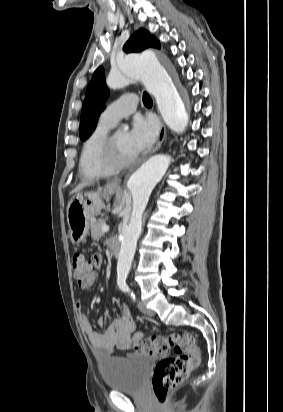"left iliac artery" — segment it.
<instances>
[{
  "instance_id": "left-iliac-artery-1",
  "label": "left iliac artery",
  "mask_w": 283,
  "mask_h": 412,
  "mask_svg": "<svg viewBox=\"0 0 283 412\" xmlns=\"http://www.w3.org/2000/svg\"><path fill=\"white\" fill-rule=\"evenodd\" d=\"M118 286L124 292H130L131 297L135 300V294L130 290L128 285L126 284V275L125 274H118Z\"/></svg>"
}]
</instances>
